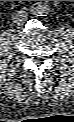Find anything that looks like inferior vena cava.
I'll list each match as a JSON object with an SVG mask.
<instances>
[{
  "mask_svg": "<svg viewBox=\"0 0 74 122\" xmlns=\"http://www.w3.org/2000/svg\"><path fill=\"white\" fill-rule=\"evenodd\" d=\"M27 17H28V14L25 11L20 10V11L14 12L12 19L14 23L20 25L26 21Z\"/></svg>",
  "mask_w": 74,
  "mask_h": 122,
  "instance_id": "inferior-vena-cava-1",
  "label": "inferior vena cava"
}]
</instances>
